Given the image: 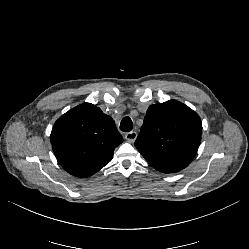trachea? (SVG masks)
I'll return each instance as SVG.
<instances>
[{
	"mask_svg": "<svg viewBox=\"0 0 249 249\" xmlns=\"http://www.w3.org/2000/svg\"><path fill=\"white\" fill-rule=\"evenodd\" d=\"M120 129L123 132H130L132 130V120L130 117H124L120 124Z\"/></svg>",
	"mask_w": 249,
	"mask_h": 249,
	"instance_id": "3493384b",
	"label": "trachea"
}]
</instances>
